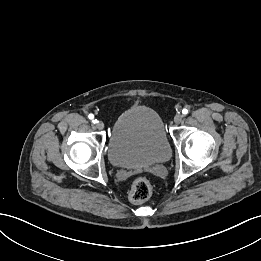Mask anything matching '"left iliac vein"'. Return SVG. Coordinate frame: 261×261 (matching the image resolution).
<instances>
[{"label":"left iliac vein","mask_w":261,"mask_h":261,"mask_svg":"<svg viewBox=\"0 0 261 261\" xmlns=\"http://www.w3.org/2000/svg\"><path fill=\"white\" fill-rule=\"evenodd\" d=\"M183 115L182 114H177L175 117H174V122L176 123V124H179V123H181L182 122V120H183Z\"/></svg>","instance_id":"left-iliac-vein-1"}]
</instances>
